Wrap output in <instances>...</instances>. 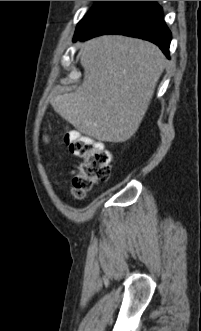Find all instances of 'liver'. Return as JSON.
<instances>
[{
	"label": "liver",
	"instance_id": "liver-1",
	"mask_svg": "<svg viewBox=\"0 0 201 331\" xmlns=\"http://www.w3.org/2000/svg\"><path fill=\"white\" fill-rule=\"evenodd\" d=\"M82 84L51 98L54 111L81 133L103 142L120 143L138 130L166 58L151 42L120 35L82 44Z\"/></svg>",
	"mask_w": 201,
	"mask_h": 331
}]
</instances>
